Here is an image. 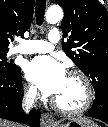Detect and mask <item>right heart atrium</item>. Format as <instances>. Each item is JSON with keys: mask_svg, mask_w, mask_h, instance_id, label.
I'll list each match as a JSON object with an SVG mask.
<instances>
[{"mask_svg": "<svg viewBox=\"0 0 108 127\" xmlns=\"http://www.w3.org/2000/svg\"><path fill=\"white\" fill-rule=\"evenodd\" d=\"M25 96L30 100L36 99L38 96L36 87L33 86L32 84H27L25 86Z\"/></svg>", "mask_w": 108, "mask_h": 127, "instance_id": "right-heart-atrium-1", "label": "right heart atrium"}]
</instances>
